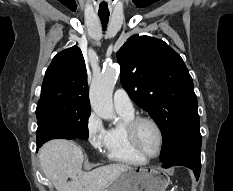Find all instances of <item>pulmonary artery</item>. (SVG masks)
<instances>
[{"label":"pulmonary artery","instance_id":"pulmonary-artery-1","mask_svg":"<svg viewBox=\"0 0 233 191\" xmlns=\"http://www.w3.org/2000/svg\"><path fill=\"white\" fill-rule=\"evenodd\" d=\"M114 107L117 111L123 112H134L133 103L127 94V92L123 89H117L113 96Z\"/></svg>","mask_w":233,"mask_h":191}]
</instances>
